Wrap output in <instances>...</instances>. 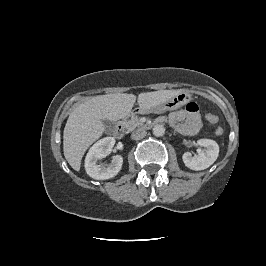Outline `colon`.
Listing matches in <instances>:
<instances>
[{
	"label": "colon",
	"instance_id": "1",
	"mask_svg": "<svg viewBox=\"0 0 266 266\" xmlns=\"http://www.w3.org/2000/svg\"><path fill=\"white\" fill-rule=\"evenodd\" d=\"M205 119H206L207 123H209V124H216L218 121L217 116L214 114H211V113L206 114ZM215 132L217 135H222L223 134V128L217 127Z\"/></svg>",
	"mask_w": 266,
	"mask_h": 266
}]
</instances>
